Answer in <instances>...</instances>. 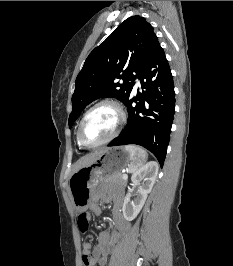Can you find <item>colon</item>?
<instances>
[{
  "instance_id": "1",
  "label": "colon",
  "mask_w": 233,
  "mask_h": 266,
  "mask_svg": "<svg viewBox=\"0 0 233 266\" xmlns=\"http://www.w3.org/2000/svg\"><path fill=\"white\" fill-rule=\"evenodd\" d=\"M78 227L79 230L81 232H86L88 227H89V222H88V218H87V214L86 213H81L78 217ZM85 263L87 266L90 265L91 263V258L90 257H86L85 258Z\"/></svg>"
}]
</instances>
